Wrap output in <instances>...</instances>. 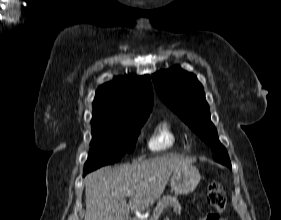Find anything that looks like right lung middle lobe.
Wrapping results in <instances>:
<instances>
[{
	"instance_id": "1",
	"label": "right lung middle lobe",
	"mask_w": 281,
	"mask_h": 220,
	"mask_svg": "<svg viewBox=\"0 0 281 220\" xmlns=\"http://www.w3.org/2000/svg\"><path fill=\"white\" fill-rule=\"evenodd\" d=\"M148 116H137L113 122H91V148L83 174L117 162L125 153H131Z\"/></svg>"
}]
</instances>
